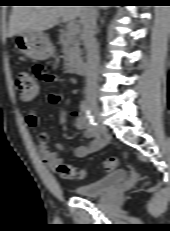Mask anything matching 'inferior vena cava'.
<instances>
[{"instance_id": "1", "label": "inferior vena cava", "mask_w": 170, "mask_h": 231, "mask_svg": "<svg viewBox=\"0 0 170 231\" xmlns=\"http://www.w3.org/2000/svg\"><path fill=\"white\" fill-rule=\"evenodd\" d=\"M81 22L83 25L82 39L87 51L86 91L95 93L97 88L99 51L95 35L97 11L95 6H82Z\"/></svg>"}]
</instances>
